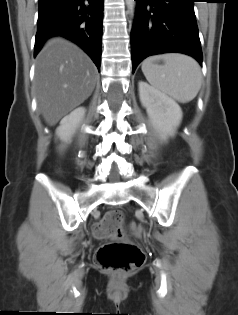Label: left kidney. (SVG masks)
Here are the masks:
<instances>
[{"label": "left kidney", "instance_id": "left-kidney-1", "mask_svg": "<svg viewBox=\"0 0 238 315\" xmlns=\"http://www.w3.org/2000/svg\"><path fill=\"white\" fill-rule=\"evenodd\" d=\"M139 97L154 128L162 138L174 136L182 120L180 106L146 82H139Z\"/></svg>", "mask_w": 238, "mask_h": 315}]
</instances>
